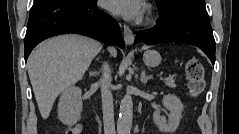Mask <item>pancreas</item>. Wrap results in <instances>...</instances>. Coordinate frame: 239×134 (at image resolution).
<instances>
[{
  "label": "pancreas",
  "mask_w": 239,
  "mask_h": 134,
  "mask_svg": "<svg viewBox=\"0 0 239 134\" xmlns=\"http://www.w3.org/2000/svg\"><path fill=\"white\" fill-rule=\"evenodd\" d=\"M164 83L166 84V86H168L169 88H175L176 84H175V80L173 78H166Z\"/></svg>",
  "instance_id": "cf45deb5"
}]
</instances>
